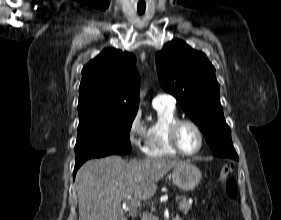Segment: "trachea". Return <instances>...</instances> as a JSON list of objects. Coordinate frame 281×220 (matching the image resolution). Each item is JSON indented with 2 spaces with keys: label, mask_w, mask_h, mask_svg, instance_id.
<instances>
[{
  "label": "trachea",
  "mask_w": 281,
  "mask_h": 220,
  "mask_svg": "<svg viewBox=\"0 0 281 220\" xmlns=\"http://www.w3.org/2000/svg\"><path fill=\"white\" fill-rule=\"evenodd\" d=\"M145 11L144 10H138L139 14H143Z\"/></svg>",
  "instance_id": "1"
}]
</instances>
